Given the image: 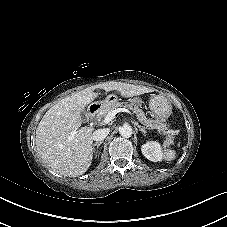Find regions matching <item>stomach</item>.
Returning <instances> with one entry per match:
<instances>
[{
  "label": "stomach",
  "instance_id": "1",
  "mask_svg": "<svg viewBox=\"0 0 227 227\" xmlns=\"http://www.w3.org/2000/svg\"><path fill=\"white\" fill-rule=\"evenodd\" d=\"M117 99L118 96L116 94H110L103 103L113 104L117 101ZM134 101H137V99H134ZM149 107L153 117L161 121L167 119L172 111L171 103L162 95L151 96Z\"/></svg>",
  "mask_w": 227,
  "mask_h": 227
}]
</instances>
